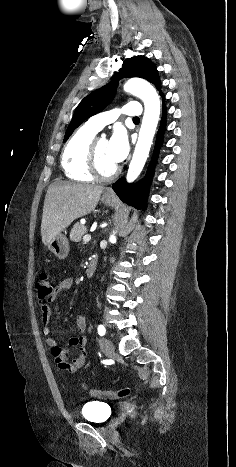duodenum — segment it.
Here are the masks:
<instances>
[{
  "mask_svg": "<svg viewBox=\"0 0 236 467\" xmlns=\"http://www.w3.org/2000/svg\"><path fill=\"white\" fill-rule=\"evenodd\" d=\"M95 271H96V261L94 259H91L86 268V275L88 277H91L94 275Z\"/></svg>",
  "mask_w": 236,
  "mask_h": 467,
  "instance_id": "obj_1",
  "label": "duodenum"
}]
</instances>
